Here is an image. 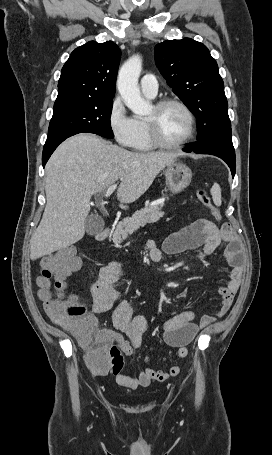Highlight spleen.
Returning a JSON list of instances; mask_svg holds the SVG:
<instances>
[{
  "mask_svg": "<svg viewBox=\"0 0 272 455\" xmlns=\"http://www.w3.org/2000/svg\"><path fill=\"white\" fill-rule=\"evenodd\" d=\"M210 192H211L214 204L216 206H220L222 203V200H221V188H220L219 184L214 183Z\"/></svg>",
  "mask_w": 272,
  "mask_h": 455,
  "instance_id": "1",
  "label": "spleen"
}]
</instances>
